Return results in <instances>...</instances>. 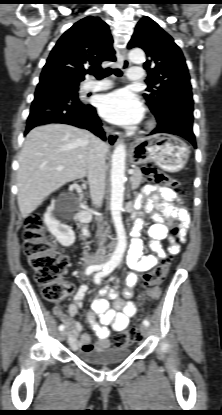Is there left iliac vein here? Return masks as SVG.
<instances>
[{
	"label": "left iliac vein",
	"mask_w": 222,
	"mask_h": 415,
	"mask_svg": "<svg viewBox=\"0 0 222 415\" xmlns=\"http://www.w3.org/2000/svg\"><path fill=\"white\" fill-rule=\"evenodd\" d=\"M140 332H141V335H142L143 337H147V336H148L149 329H148V327H147V326H145V325H141V326H140Z\"/></svg>",
	"instance_id": "left-iliac-vein-1"
}]
</instances>
